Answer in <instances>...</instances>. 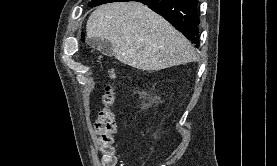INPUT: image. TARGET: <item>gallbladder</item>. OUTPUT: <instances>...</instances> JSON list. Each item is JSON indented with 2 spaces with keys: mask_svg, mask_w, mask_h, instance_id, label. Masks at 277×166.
<instances>
[{
  "mask_svg": "<svg viewBox=\"0 0 277 166\" xmlns=\"http://www.w3.org/2000/svg\"><path fill=\"white\" fill-rule=\"evenodd\" d=\"M88 45L99 50L102 54L106 56H112L113 54V46L111 42L106 39L99 38H89Z\"/></svg>",
  "mask_w": 277,
  "mask_h": 166,
  "instance_id": "gallbladder-1",
  "label": "gallbladder"
}]
</instances>
